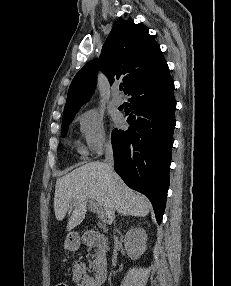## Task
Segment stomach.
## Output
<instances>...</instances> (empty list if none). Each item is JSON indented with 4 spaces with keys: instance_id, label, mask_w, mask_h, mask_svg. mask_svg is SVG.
I'll return each mask as SVG.
<instances>
[{
    "instance_id": "0dacf381",
    "label": "stomach",
    "mask_w": 231,
    "mask_h": 286,
    "mask_svg": "<svg viewBox=\"0 0 231 286\" xmlns=\"http://www.w3.org/2000/svg\"><path fill=\"white\" fill-rule=\"evenodd\" d=\"M80 246V236L76 232H70L65 240L64 247L70 251H76Z\"/></svg>"
}]
</instances>
